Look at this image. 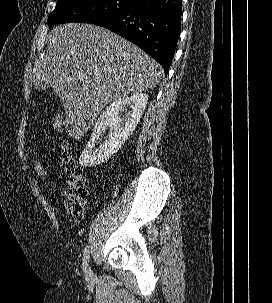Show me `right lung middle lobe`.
<instances>
[{
  "label": "right lung middle lobe",
  "mask_w": 272,
  "mask_h": 303,
  "mask_svg": "<svg viewBox=\"0 0 272 303\" xmlns=\"http://www.w3.org/2000/svg\"><path fill=\"white\" fill-rule=\"evenodd\" d=\"M135 0H58L48 17V24L92 23L131 8Z\"/></svg>",
  "instance_id": "right-lung-middle-lobe-1"
}]
</instances>
